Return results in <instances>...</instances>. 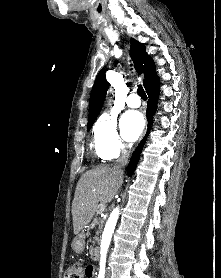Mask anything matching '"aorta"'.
<instances>
[{"instance_id":"aorta-1","label":"aorta","mask_w":221,"mask_h":278,"mask_svg":"<svg viewBox=\"0 0 221 278\" xmlns=\"http://www.w3.org/2000/svg\"><path fill=\"white\" fill-rule=\"evenodd\" d=\"M119 216V208L113 209L111 212L108 221L105 225L103 234H102V240H101V246H100V261L105 262L106 261V256L108 252V248L110 246L112 234L114 232L117 220Z\"/></svg>"}]
</instances>
